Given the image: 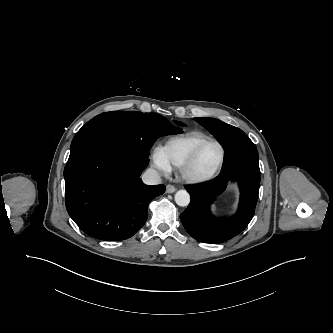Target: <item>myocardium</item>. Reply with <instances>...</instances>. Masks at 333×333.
I'll return each instance as SVG.
<instances>
[{"mask_svg": "<svg viewBox=\"0 0 333 333\" xmlns=\"http://www.w3.org/2000/svg\"><path fill=\"white\" fill-rule=\"evenodd\" d=\"M209 143H214L219 147L220 158H219L217 164L215 165V167L210 172H208L207 174H204V175H197L193 172V166L196 162V159H197L201 149ZM225 156H226V152H225V148L222 145V143L215 138L209 137V138L201 141L193 149V151L191 152L189 157L186 159L184 164L180 167L181 176L187 183H190V184H203V183L209 182L216 176V174L222 168L224 161H225Z\"/></svg>", "mask_w": 333, "mask_h": 333, "instance_id": "obj_1", "label": "myocardium"}]
</instances>
